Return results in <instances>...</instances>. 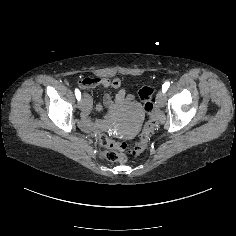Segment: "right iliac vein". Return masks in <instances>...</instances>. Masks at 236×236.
Masks as SVG:
<instances>
[{
	"label": "right iliac vein",
	"mask_w": 236,
	"mask_h": 236,
	"mask_svg": "<svg viewBox=\"0 0 236 236\" xmlns=\"http://www.w3.org/2000/svg\"><path fill=\"white\" fill-rule=\"evenodd\" d=\"M85 105H86V103H85V98H82V99L78 102V108H79L80 110H83V109L85 108Z\"/></svg>",
	"instance_id": "1"
}]
</instances>
